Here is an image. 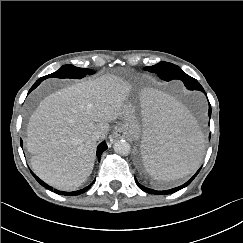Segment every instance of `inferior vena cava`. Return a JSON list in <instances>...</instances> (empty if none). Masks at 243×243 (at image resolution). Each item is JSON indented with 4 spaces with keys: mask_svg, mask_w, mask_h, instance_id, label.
<instances>
[{
    "mask_svg": "<svg viewBox=\"0 0 243 243\" xmlns=\"http://www.w3.org/2000/svg\"><path fill=\"white\" fill-rule=\"evenodd\" d=\"M102 136V132L101 131H96L93 134V138L98 140L100 137Z\"/></svg>",
    "mask_w": 243,
    "mask_h": 243,
    "instance_id": "obj_1",
    "label": "inferior vena cava"
}]
</instances>
